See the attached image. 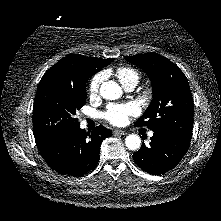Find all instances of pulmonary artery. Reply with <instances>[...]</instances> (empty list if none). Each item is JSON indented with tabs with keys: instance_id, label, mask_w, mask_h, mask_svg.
I'll list each match as a JSON object with an SVG mask.
<instances>
[{
	"instance_id": "pulmonary-artery-1",
	"label": "pulmonary artery",
	"mask_w": 221,
	"mask_h": 221,
	"mask_svg": "<svg viewBox=\"0 0 221 221\" xmlns=\"http://www.w3.org/2000/svg\"><path fill=\"white\" fill-rule=\"evenodd\" d=\"M135 86H136L135 83H130V84L125 85L124 88H125L126 91H132V90L135 88ZM148 135H149L150 137H152V136H153V132L150 131V132L148 133Z\"/></svg>"
}]
</instances>
